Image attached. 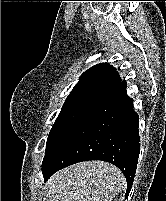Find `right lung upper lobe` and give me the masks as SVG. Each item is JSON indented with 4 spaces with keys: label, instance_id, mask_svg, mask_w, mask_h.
Returning a JSON list of instances; mask_svg holds the SVG:
<instances>
[{
    "label": "right lung upper lobe",
    "instance_id": "obj_1",
    "mask_svg": "<svg viewBox=\"0 0 166 201\" xmlns=\"http://www.w3.org/2000/svg\"><path fill=\"white\" fill-rule=\"evenodd\" d=\"M121 82L118 72L110 64L95 65L82 74L66 101L85 97H106Z\"/></svg>",
    "mask_w": 166,
    "mask_h": 201
}]
</instances>
